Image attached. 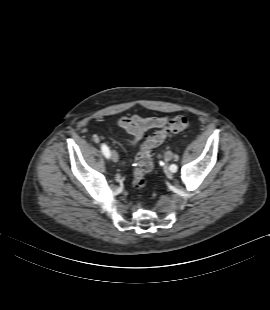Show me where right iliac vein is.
I'll use <instances>...</instances> for the list:
<instances>
[{
    "label": "right iliac vein",
    "instance_id": "right-iliac-vein-1",
    "mask_svg": "<svg viewBox=\"0 0 270 310\" xmlns=\"http://www.w3.org/2000/svg\"><path fill=\"white\" fill-rule=\"evenodd\" d=\"M110 156L113 162H117L119 160V156L116 151H111Z\"/></svg>",
    "mask_w": 270,
    "mask_h": 310
}]
</instances>
